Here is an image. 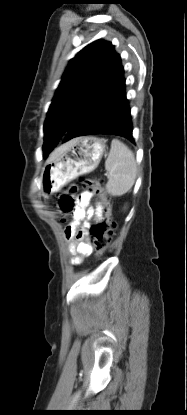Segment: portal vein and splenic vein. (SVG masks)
<instances>
[{"instance_id": "obj_1", "label": "portal vein and splenic vein", "mask_w": 187, "mask_h": 415, "mask_svg": "<svg viewBox=\"0 0 187 415\" xmlns=\"http://www.w3.org/2000/svg\"><path fill=\"white\" fill-rule=\"evenodd\" d=\"M106 176L109 178L110 177V175H108V174H106Z\"/></svg>"}]
</instances>
